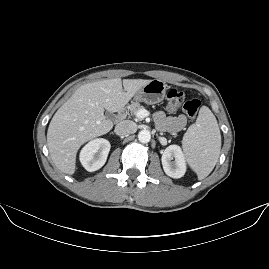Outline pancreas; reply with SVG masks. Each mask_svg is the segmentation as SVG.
<instances>
[{
	"mask_svg": "<svg viewBox=\"0 0 269 269\" xmlns=\"http://www.w3.org/2000/svg\"><path fill=\"white\" fill-rule=\"evenodd\" d=\"M127 109L129 110V112L131 114H133L136 118L140 119L139 116H138V112L141 110V109H144L143 106H141L139 103L137 102H131L129 104V106L127 107Z\"/></svg>",
	"mask_w": 269,
	"mask_h": 269,
	"instance_id": "obj_1",
	"label": "pancreas"
}]
</instances>
